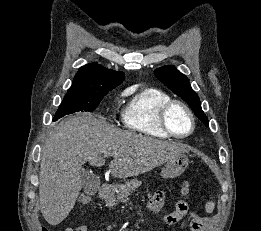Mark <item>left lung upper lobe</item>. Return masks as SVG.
<instances>
[{
	"instance_id": "5c2ea615",
	"label": "left lung upper lobe",
	"mask_w": 261,
	"mask_h": 231,
	"mask_svg": "<svg viewBox=\"0 0 261 231\" xmlns=\"http://www.w3.org/2000/svg\"><path fill=\"white\" fill-rule=\"evenodd\" d=\"M155 76L176 95L185 100L195 115L205 124L208 119L201 109V103L196 92L191 88L188 78L173 66H163L154 71Z\"/></svg>"
}]
</instances>
